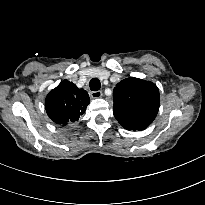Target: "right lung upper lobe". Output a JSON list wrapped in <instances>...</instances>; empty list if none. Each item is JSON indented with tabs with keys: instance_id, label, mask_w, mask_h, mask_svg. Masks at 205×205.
Segmentation results:
<instances>
[{
	"instance_id": "right-lung-upper-lobe-1",
	"label": "right lung upper lobe",
	"mask_w": 205,
	"mask_h": 205,
	"mask_svg": "<svg viewBox=\"0 0 205 205\" xmlns=\"http://www.w3.org/2000/svg\"><path fill=\"white\" fill-rule=\"evenodd\" d=\"M89 102V95L84 89L64 80L47 95L45 109L52 121L66 125L78 121Z\"/></svg>"
}]
</instances>
